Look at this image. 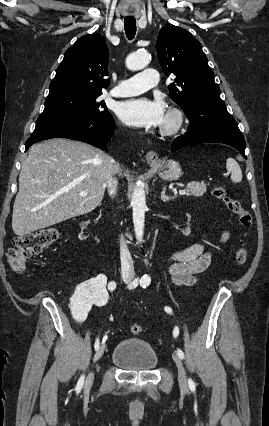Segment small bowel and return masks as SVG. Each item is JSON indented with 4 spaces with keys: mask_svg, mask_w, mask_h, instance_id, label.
<instances>
[{
    "mask_svg": "<svg viewBox=\"0 0 269 426\" xmlns=\"http://www.w3.org/2000/svg\"><path fill=\"white\" fill-rule=\"evenodd\" d=\"M228 237L227 232L223 233L221 241H226ZM210 263L211 254L204 249L202 244L195 243L172 254L170 274L177 286H192L197 275L207 269Z\"/></svg>",
    "mask_w": 269,
    "mask_h": 426,
    "instance_id": "c3829d8e",
    "label": "small bowel"
}]
</instances>
